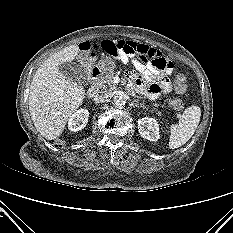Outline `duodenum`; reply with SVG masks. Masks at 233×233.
<instances>
[{"mask_svg":"<svg viewBox=\"0 0 233 233\" xmlns=\"http://www.w3.org/2000/svg\"><path fill=\"white\" fill-rule=\"evenodd\" d=\"M91 76H92V85L88 89L87 94L89 97H94L98 93L99 85L103 77V73L97 67H93L91 70Z\"/></svg>","mask_w":233,"mask_h":233,"instance_id":"duodenum-1","label":"duodenum"}]
</instances>
